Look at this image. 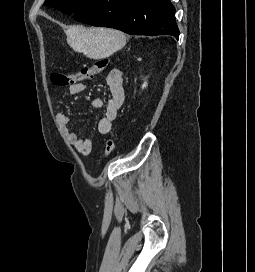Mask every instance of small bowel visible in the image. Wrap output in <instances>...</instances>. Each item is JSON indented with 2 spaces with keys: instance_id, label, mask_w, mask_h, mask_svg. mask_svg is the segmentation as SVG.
<instances>
[{
  "instance_id": "1",
  "label": "small bowel",
  "mask_w": 255,
  "mask_h": 272,
  "mask_svg": "<svg viewBox=\"0 0 255 272\" xmlns=\"http://www.w3.org/2000/svg\"><path fill=\"white\" fill-rule=\"evenodd\" d=\"M106 83L109 90V99L106 103L103 116L97 123V131L101 135H107L111 129L114 120L121 108L125 93L123 86V72L120 69H112L106 77ZM86 89L84 82L70 85L68 89L69 95H76ZM103 101L99 98L92 101L94 107H101ZM57 123L62 129L69 143L82 156H88L92 150V142L89 138L80 137L75 131L72 121L68 114L59 112L56 115Z\"/></svg>"
}]
</instances>
